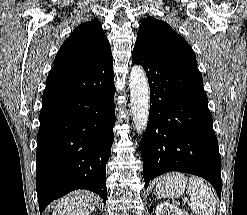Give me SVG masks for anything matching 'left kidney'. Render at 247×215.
I'll use <instances>...</instances> for the list:
<instances>
[{
    "instance_id": "5707ae66",
    "label": "left kidney",
    "mask_w": 247,
    "mask_h": 215,
    "mask_svg": "<svg viewBox=\"0 0 247 215\" xmlns=\"http://www.w3.org/2000/svg\"><path fill=\"white\" fill-rule=\"evenodd\" d=\"M156 215H189V214L173 204L161 203L156 208Z\"/></svg>"
}]
</instances>
